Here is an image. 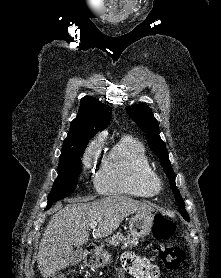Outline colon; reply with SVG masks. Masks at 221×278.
I'll return each mask as SVG.
<instances>
[{
	"mask_svg": "<svg viewBox=\"0 0 221 278\" xmlns=\"http://www.w3.org/2000/svg\"><path fill=\"white\" fill-rule=\"evenodd\" d=\"M174 223L162 215H156L153 223V236L158 240H167L174 236ZM159 258L167 270H176L184 260L182 248L167 244H161L156 248ZM47 278H67L64 274L54 273ZM71 278H85L84 276H72Z\"/></svg>",
	"mask_w": 221,
	"mask_h": 278,
	"instance_id": "1",
	"label": "colon"
}]
</instances>
